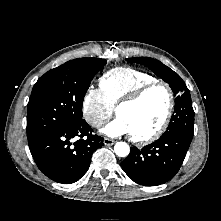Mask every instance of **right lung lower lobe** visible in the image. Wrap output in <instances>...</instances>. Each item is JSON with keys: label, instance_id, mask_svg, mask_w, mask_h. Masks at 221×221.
Masks as SVG:
<instances>
[{"label": "right lung lower lobe", "instance_id": "right-lung-lower-lobe-1", "mask_svg": "<svg viewBox=\"0 0 221 221\" xmlns=\"http://www.w3.org/2000/svg\"><path fill=\"white\" fill-rule=\"evenodd\" d=\"M92 132L81 119L42 136L29 145L30 152L44 175L59 183H74L87 172L93 152L103 145V138Z\"/></svg>", "mask_w": 221, "mask_h": 221}]
</instances>
